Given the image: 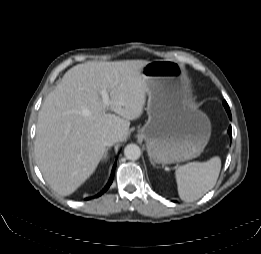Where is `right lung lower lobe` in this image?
<instances>
[{"label": "right lung lower lobe", "mask_w": 261, "mask_h": 254, "mask_svg": "<svg viewBox=\"0 0 261 254\" xmlns=\"http://www.w3.org/2000/svg\"><path fill=\"white\" fill-rule=\"evenodd\" d=\"M115 168H116V163L114 164L113 168H112V173H111V177L107 183V185L105 186V188L97 195L100 196L101 194H103L104 192H106V190L110 187L112 181H113V177H114V173H115Z\"/></svg>", "instance_id": "obj_1"}]
</instances>
